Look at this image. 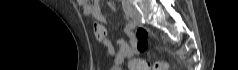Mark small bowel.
Masks as SVG:
<instances>
[{
	"label": "small bowel",
	"mask_w": 238,
	"mask_h": 70,
	"mask_svg": "<svg viewBox=\"0 0 238 70\" xmlns=\"http://www.w3.org/2000/svg\"><path fill=\"white\" fill-rule=\"evenodd\" d=\"M78 4L82 8L85 16L92 17L100 23H105V17L101 13L98 3L89 2L87 0H78ZM125 32L130 37V42L120 40L117 42L116 46H113L109 39L106 38V29L100 24L94 25V33L97 40L108 48L109 53L114 57L117 65L124 59L130 58L139 52L137 48V39L134 33V25H127L125 27ZM119 54L123 55L122 59L118 58Z\"/></svg>",
	"instance_id": "small-bowel-1"
}]
</instances>
